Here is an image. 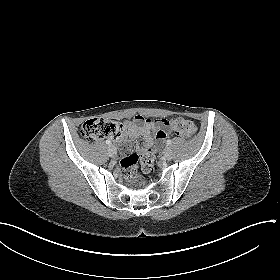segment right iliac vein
Masks as SVG:
<instances>
[{
  "instance_id": "63e3f726",
  "label": "right iliac vein",
  "mask_w": 280,
  "mask_h": 280,
  "mask_svg": "<svg viewBox=\"0 0 280 280\" xmlns=\"http://www.w3.org/2000/svg\"><path fill=\"white\" fill-rule=\"evenodd\" d=\"M108 153L111 157H115L117 154L116 147L114 145H110L108 148Z\"/></svg>"
}]
</instances>
